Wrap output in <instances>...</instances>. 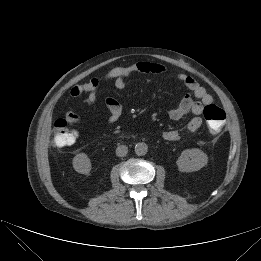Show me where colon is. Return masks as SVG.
<instances>
[{
    "mask_svg": "<svg viewBox=\"0 0 261 261\" xmlns=\"http://www.w3.org/2000/svg\"><path fill=\"white\" fill-rule=\"evenodd\" d=\"M203 115L209 131L211 133L219 132L226 119L224 110L214 104H209L205 106ZM53 132V144L57 148L72 145L77 138V132L67 126L65 119H58L54 123Z\"/></svg>",
    "mask_w": 261,
    "mask_h": 261,
    "instance_id": "obj_1",
    "label": "colon"
}]
</instances>
